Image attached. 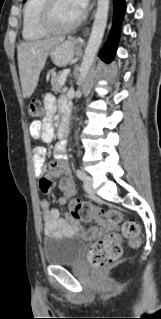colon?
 I'll return each instance as SVG.
<instances>
[{
  "label": "colon",
  "mask_w": 161,
  "mask_h": 319,
  "mask_svg": "<svg viewBox=\"0 0 161 319\" xmlns=\"http://www.w3.org/2000/svg\"><path fill=\"white\" fill-rule=\"evenodd\" d=\"M42 114L41 102L37 99L32 100L28 107L30 117H39ZM61 185L65 188H71L72 183L69 180H63ZM43 193H49L52 190V182L49 178H43L40 183ZM70 215L74 219L83 221H92L98 219H107L113 224L121 221V214L118 210H105L93 206L88 201L73 199L70 203ZM124 237L130 245L137 246L141 243L139 226L134 220H126L122 223ZM123 238L118 233H110L104 238L95 242L88 252V262L96 269H104L113 265L122 255Z\"/></svg>",
  "instance_id": "colon-1"
}]
</instances>
